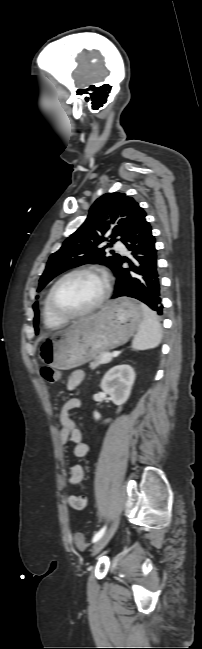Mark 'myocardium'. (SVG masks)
I'll return each instance as SVG.
<instances>
[{
	"instance_id": "f54148a6",
	"label": "myocardium",
	"mask_w": 202,
	"mask_h": 649,
	"mask_svg": "<svg viewBox=\"0 0 202 649\" xmlns=\"http://www.w3.org/2000/svg\"><path fill=\"white\" fill-rule=\"evenodd\" d=\"M82 273L94 274V275H98L99 277H101V279L103 280V283H104L103 292H102L101 296L98 298V300L94 304H92L90 307H88V308H86L84 310H81V311H76V312L66 311V310L62 309L58 305V303L56 301V298H55L56 289L68 277L76 275V274H82ZM110 293H111V279H110L108 273L105 270H103V269H101L99 267H94V266H82V267L74 268V269L64 273L61 277H59L55 281V283L52 285V287L49 290L48 301H49L50 308H51V310H52V312H53V314L55 316H57V317H59L61 319H64V320H70V319H76V318H79V317L89 315V314L93 313L94 311H96L97 309H99L105 303V301L108 299Z\"/></svg>"
}]
</instances>
